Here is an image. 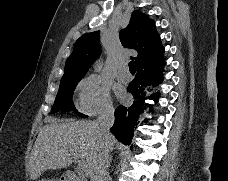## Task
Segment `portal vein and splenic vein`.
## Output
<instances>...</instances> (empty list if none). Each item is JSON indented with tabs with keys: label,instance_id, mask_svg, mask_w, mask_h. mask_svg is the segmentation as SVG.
Returning a JSON list of instances; mask_svg holds the SVG:
<instances>
[{
	"label": "portal vein and splenic vein",
	"instance_id": "obj_1",
	"mask_svg": "<svg viewBox=\"0 0 228 181\" xmlns=\"http://www.w3.org/2000/svg\"><path fill=\"white\" fill-rule=\"evenodd\" d=\"M73 159H75L76 163H78V169L80 173H85V175H89L87 165H85L84 161H79V157H77V153H73Z\"/></svg>",
	"mask_w": 228,
	"mask_h": 181
}]
</instances>
